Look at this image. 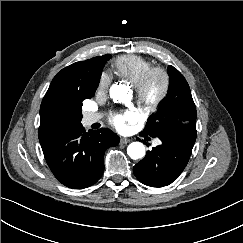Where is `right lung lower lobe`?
<instances>
[{
  "label": "right lung lower lobe",
  "instance_id": "1",
  "mask_svg": "<svg viewBox=\"0 0 243 243\" xmlns=\"http://www.w3.org/2000/svg\"><path fill=\"white\" fill-rule=\"evenodd\" d=\"M119 137L107 128L85 133L83 126H70L39 133L46 162L65 186L87 188L104 172V152L116 146Z\"/></svg>",
  "mask_w": 243,
  "mask_h": 243
}]
</instances>
